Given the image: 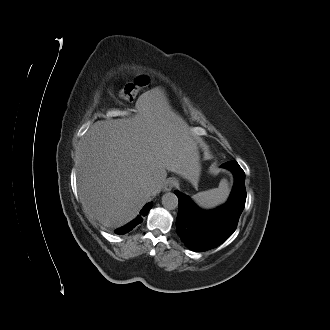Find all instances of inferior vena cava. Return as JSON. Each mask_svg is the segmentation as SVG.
I'll list each match as a JSON object with an SVG mask.
<instances>
[{
    "mask_svg": "<svg viewBox=\"0 0 330 330\" xmlns=\"http://www.w3.org/2000/svg\"><path fill=\"white\" fill-rule=\"evenodd\" d=\"M147 188L150 193H153L156 189V181L153 179H149V181L147 182Z\"/></svg>",
    "mask_w": 330,
    "mask_h": 330,
    "instance_id": "obj_1",
    "label": "inferior vena cava"
}]
</instances>
